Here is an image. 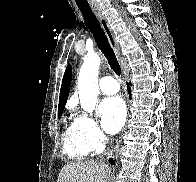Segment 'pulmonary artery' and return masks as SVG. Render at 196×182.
<instances>
[{
  "label": "pulmonary artery",
  "mask_w": 196,
  "mask_h": 182,
  "mask_svg": "<svg viewBox=\"0 0 196 182\" xmlns=\"http://www.w3.org/2000/svg\"><path fill=\"white\" fill-rule=\"evenodd\" d=\"M99 88L104 94H115L119 91L120 86L117 80L112 76H105L100 80Z\"/></svg>",
  "instance_id": "pulmonary-artery-1"
}]
</instances>
